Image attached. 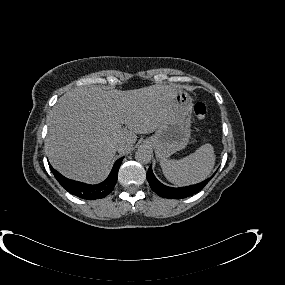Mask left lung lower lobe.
<instances>
[{
  "instance_id": "obj_1",
  "label": "left lung lower lobe",
  "mask_w": 285,
  "mask_h": 285,
  "mask_svg": "<svg viewBox=\"0 0 285 285\" xmlns=\"http://www.w3.org/2000/svg\"><path fill=\"white\" fill-rule=\"evenodd\" d=\"M210 179L211 178L192 186L172 188L163 185L156 179L152 171V166L149 167V170L147 172V180L151 189L159 196L170 199H181L192 196L193 194L200 191L209 182Z\"/></svg>"
}]
</instances>
